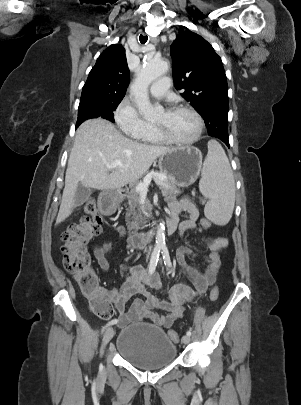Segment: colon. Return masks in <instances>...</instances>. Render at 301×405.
I'll return each mask as SVG.
<instances>
[{
	"mask_svg": "<svg viewBox=\"0 0 301 405\" xmlns=\"http://www.w3.org/2000/svg\"><path fill=\"white\" fill-rule=\"evenodd\" d=\"M103 218L98 214L97 206L93 201L85 204L83 215L78 224H71L62 234L64 268L70 272L88 300L91 310L101 318H109L112 308L99 287L98 277L95 274L91 258L87 251L88 242L102 231ZM200 226L208 229L211 222L202 218ZM219 289L214 286L210 291V300L216 301ZM168 335L174 343L179 342V335L175 330H169Z\"/></svg>",
	"mask_w": 301,
	"mask_h": 405,
	"instance_id": "1",
	"label": "colon"
}]
</instances>
